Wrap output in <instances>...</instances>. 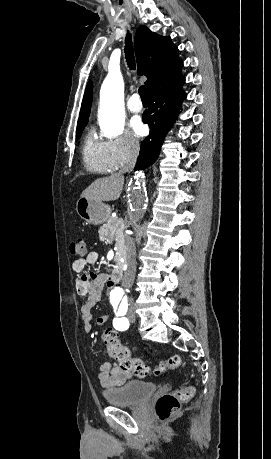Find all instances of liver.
Instances as JSON below:
<instances>
[{
	"instance_id": "6515ba94",
	"label": "liver",
	"mask_w": 271,
	"mask_h": 459,
	"mask_svg": "<svg viewBox=\"0 0 271 459\" xmlns=\"http://www.w3.org/2000/svg\"><path fill=\"white\" fill-rule=\"evenodd\" d=\"M124 186V178L122 174H111L107 178H98L92 182L89 188H86L81 194V198H89V200H99V202H110V200H118Z\"/></svg>"
}]
</instances>
